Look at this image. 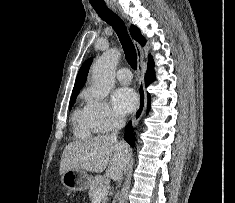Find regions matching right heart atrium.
<instances>
[{
    "instance_id": "right-heart-atrium-1",
    "label": "right heart atrium",
    "mask_w": 235,
    "mask_h": 203,
    "mask_svg": "<svg viewBox=\"0 0 235 203\" xmlns=\"http://www.w3.org/2000/svg\"><path fill=\"white\" fill-rule=\"evenodd\" d=\"M86 109L98 132H110L123 122V117L115 112L106 100L91 94L87 95Z\"/></svg>"
}]
</instances>
